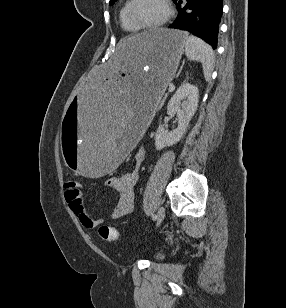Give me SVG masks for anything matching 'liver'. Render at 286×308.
<instances>
[{"label":"liver","mask_w":286,"mask_h":308,"mask_svg":"<svg viewBox=\"0 0 286 308\" xmlns=\"http://www.w3.org/2000/svg\"><path fill=\"white\" fill-rule=\"evenodd\" d=\"M152 31L144 32L141 34H137L126 39H123L119 42L118 47L116 49L114 58L119 57L128 53V51L135 45L137 42L142 41L143 39L147 38Z\"/></svg>","instance_id":"6515ba94"}]
</instances>
